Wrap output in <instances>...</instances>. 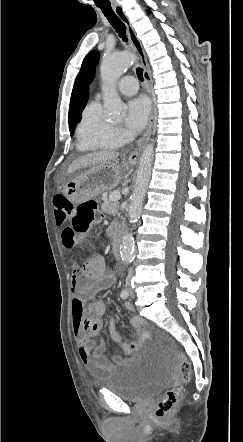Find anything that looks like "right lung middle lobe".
Instances as JSON below:
<instances>
[{
    "label": "right lung middle lobe",
    "instance_id": "dd1d6c3e",
    "mask_svg": "<svg viewBox=\"0 0 243 442\" xmlns=\"http://www.w3.org/2000/svg\"><path fill=\"white\" fill-rule=\"evenodd\" d=\"M70 128V133H71V135L73 134V131H74V129H75V125L74 126H71V127H69Z\"/></svg>",
    "mask_w": 243,
    "mask_h": 442
}]
</instances>
